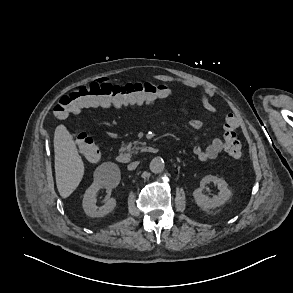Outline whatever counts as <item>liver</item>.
<instances>
[{
    "label": "liver",
    "instance_id": "6515ba94",
    "mask_svg": "<svg viewBox=\"0 0 293 293\" xmlns=\"http://www.w3.org/2000/svg\"><path fill=\"white\" fill-rule=\"evenodd\" d=\"M55 175L59 194L69 197L84 175V163L67 128L61 124L54 134Z\"/></svg>",
    "mask_w": 293,
    "mask_h": 293
}]
</instances>
